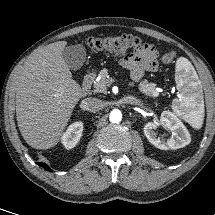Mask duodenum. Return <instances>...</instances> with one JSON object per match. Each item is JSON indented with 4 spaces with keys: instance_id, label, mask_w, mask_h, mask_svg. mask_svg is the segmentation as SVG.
Masks as SVG:
<instances>
[{
    "instance_id": "obj_1",
    "label": "duodenum",
    "mask_w": 215,
    "mask_h": 215,
    "mask_svg": "<svg viewBox=\"0 0 215 215\" xmlns=\"http://www.w3.org/2000/svg\"><path fill=\"white\" fill-rule=\"evenodd\" d=\"M95 74L93 72L87 73L84 76L83 82H82V95L85 96L89 93L91 85L93 83Z\"/></svg>"
}]
</instances>
